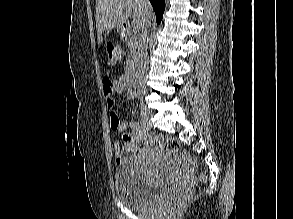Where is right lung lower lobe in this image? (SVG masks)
<instances>
[{"label":"right lung lower lobe","instance_id":"1","mask_svg":"<svg viewBox=\"0 0 293 219\" xmlns=\"http://www.w3.org/2000/svg\"><path fill=\"white\" fill-rule=\"evenodd\" d=\"M149 1L152 4L153 9L155 11L156 21L157 23H160L163 16L164 8H165V1L164 0H149Z\"/></svg>","mask_w":293,"mask_h":219}]
</instances>
